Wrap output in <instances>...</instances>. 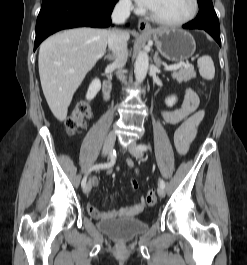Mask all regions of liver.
<instances>
[{"label": "liver", "instance_id": "6515ba94", "mask_svg": "<svg viewBox=\"0 0 247 265\" xmlns=\"http://www.w3.org/2000/svg\"><path fill=\"white\" fill-rule=\"evenodd\" d=\"M125 33L129 39V33ZM107 41V30L76 28L52 35L40 45L38 66L42 90L59 121L66 119L74 93L104 55Z\"/></svg>", "mask_w": 247, "mask_h": 265}]
</instances>
